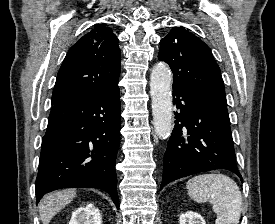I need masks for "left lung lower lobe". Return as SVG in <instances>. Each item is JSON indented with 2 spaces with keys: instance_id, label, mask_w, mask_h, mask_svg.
Returning <instances> with one entry per match:
<instances>
[{
  "instance_id": "left-lung-lower-lobe-1",
  "label": "left lung lower lobe",
  "mask_w": 275,
  "mask_h": 224,
  "mask_svg": "<svg viewBox=\"0 0 275 224\" xmlns=\"http://www.w3.org/2000/svg\"><path fill=\"white\" fill-rule=\"evenodd\" d=\"M175 126L164 156L160 189L176 179L236 165L227 105L203 94L173 87Z\"/></svg>"
}]
</instances>
